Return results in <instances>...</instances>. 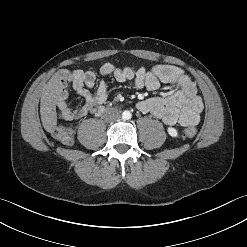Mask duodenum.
I'll use <instances>...</instances> for the list:
<instances>
[{"mask_svg":"<svg viewBox=\"0 0 247 247\" xmlns=\"http://www.w3.org/2000/svg\"><path fill=\"white\" fill-rule=\"evenodd\" d=\"M103 110H104V109H103V108H101V109L99 110V113H101Z\"/></svg>","mask_w":247,"mask_h":247,"instance_id":"410a0bca","label":"duodenum"}]
</instances>
